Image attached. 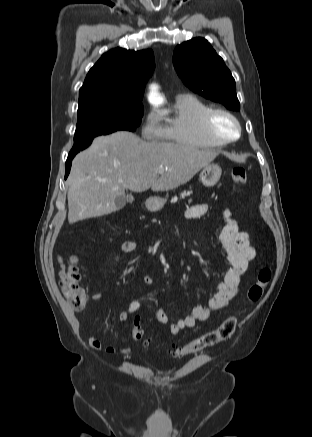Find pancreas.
Segmentation results:
<instances>
[{"label": "pancreas", "instance_id": "obj_1", "mask_svg": "<svg viewBox=\"0 0 312 437\" xmlns=\"http://www.w3.org/2000/svg\"><path fill=\"white\" fill-rule=\"evenodd\" d=\"M191 194V192H183L182 194H181V196H180V198H185V196H189ZM177 197L175 196L174 198H172V200H171V202H177Z\"/></svg>", "mask_w": 312, "mask_h": 437}]
</instances>
